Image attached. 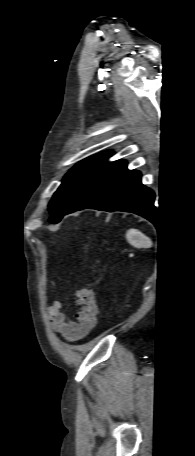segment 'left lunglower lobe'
<instances>
[{"instance_id":"left-lung-lower-lobe-1","label":"left lung lower lobe","mask_w":195,"mask_h":456,"mask_svg":"<svg viewBox=\"0 0 195 456\" xmlns=\"http://www.w3.org/2000/svg\"><path fill=\"white\" fill-rule=\"evenodd\" d=\"M154 198L153 191L141 183V173L128 170L126 161L121 160L104 185L77 210L132 212L151 221L155 213Z\"/></svg>"}]
</instances>
